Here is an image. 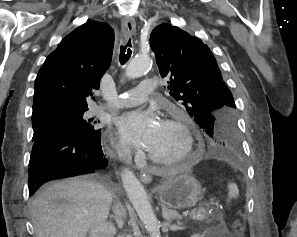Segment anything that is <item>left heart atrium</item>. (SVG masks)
<instances>
[{"mask_svg": "<svg viewBox=\"0 0 297 237\" xmlns=\"http://www.w3.org/2000/svg\"><path fill=\"white\" fill-rule=\"evenodd\" d=\"M160 120L150 110H133L122 114L116 121L120 135L130 144L149 150L160 127Z\"/></svg>", "mask_w": 297, "mask_h": 237, "instance_id": "left-heart-atrium-1", "label": "left heart atrium"}]
</instances>
